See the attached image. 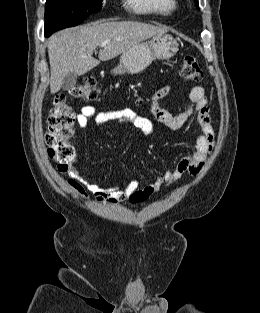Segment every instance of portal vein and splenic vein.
<instances>
[{"label":"portal vein and splenic vein","instance_id":"portal-vein-and-splenic-vein-1","mask_svg":"<svg viewBox=\"0 0 260 313\" xmlns=\"http://www.w3.org/2000/svg\"><path fill=\"white\" fill-rule=\"evenodd\" d=\"M105 46V44H102L101 47Z\"/></svg>","mask_w":260,"mask_h":313}]
</instances>
